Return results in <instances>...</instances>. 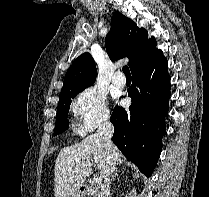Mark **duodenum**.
Masks as SVG:
<instances>
[{
  "instance_id": "duodenum-1",
  "label": "duodenum",
  "mask_w": 209,
  "mask_h": 197,
  "mask_svg": "<svg viewBox=\"0 0 209 197\" xmlns=\"http://www.w3.org/2000/svg\"><path fill=\"white\" fill-rule=\"evenodd\" d=\"M83 192H87V189L85 188V189H83Z\"/></svg>"
}]
</instances>
